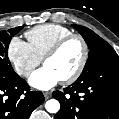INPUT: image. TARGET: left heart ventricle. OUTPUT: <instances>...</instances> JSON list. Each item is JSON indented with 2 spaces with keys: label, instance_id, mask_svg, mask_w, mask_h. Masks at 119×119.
<instances>
[{
  "label": "left heart ventricle",
  "instance_id": "left-heart-ventricle-1",
  "mask_svg": "<svg viewBox=\"0 0 119 119\" xmlns=\"http://www.w3.org/2000/svg\"><path fill=\"white\" fill-rule=\"evenodd\" d=\"M83 48L79 40H72L54 57L45 62L62 80L71 75L79 66Z\"/></svg>",
  "mask_w": 119,
  "mask_h": 119
}]
</instances>
